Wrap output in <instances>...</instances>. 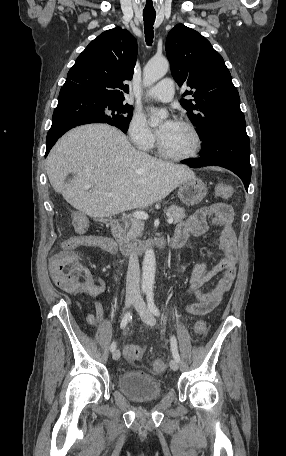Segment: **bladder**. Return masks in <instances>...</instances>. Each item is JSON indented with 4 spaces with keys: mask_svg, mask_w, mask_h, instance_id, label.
<instances>
[{
    "mask_svg": "<svg viewBox=\"0 0 286 456\" xmlns=\"http://www.w3.org/2000/svg\"><path fill=\"white\" fill-rule=\"evenodd\" d=\"M119 389L123 395L135 402L157 400L163 394L159 381L144 372L126 371L118 379Z\"/></svg>",
    "mask_w": 286,
    "mask_h": 456,
    "instance_id": "31cf9c89",
    "label": "bladder"
}]
</instances>
